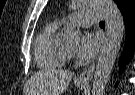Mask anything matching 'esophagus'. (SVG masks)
I'll use <instances>...</instances> for the list:
<instances>
[{
	"instance_id": "esophagus-1",
	"label": "esophagus",
	"mask_w": 135,
	"mask_h": 95,
	"mask_svg": "<svg viewBox=\"0 0 135 95\" xmlns=\"http://www.w3.org/2000/svg\"><path fill=\"white\" fill-rule=\"evenodd\" d=\"M94 69H95V65H92L90 67H88L87 69H85L78 77H77V81L78 82H83V83H88L93 76L94 73Z\"/></svg>"
}]
</instances>
